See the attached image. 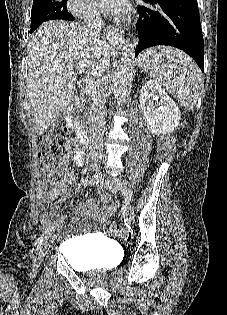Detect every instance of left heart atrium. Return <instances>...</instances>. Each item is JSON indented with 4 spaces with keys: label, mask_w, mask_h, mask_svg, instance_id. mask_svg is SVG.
<instances>
[{
    "label": "left heart atrium",
    "mask_w": 227,
    "mask_h": 315,
    "mask_svg": "<svg viewBox=\"0 0 227 315\" xmlns=\"http://www.w3.org/2000/svg\"><path fill=\"white\" fill-rule=\"evenodd\" d=\"M99 8L108 16L120 19L128 10V0H97Z\"/></svg>",
    "instance_id": "obj_1"
}]
</instances>
